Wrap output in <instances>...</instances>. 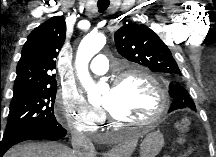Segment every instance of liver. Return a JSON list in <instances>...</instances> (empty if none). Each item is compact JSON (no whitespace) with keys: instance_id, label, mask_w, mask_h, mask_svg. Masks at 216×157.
<instances>
[{"instance_id":"6515ba94","label":"liver","mask_w":216,"mask_h":157,"mask_svg":"<svg viewBox=\"0 0 216 157\" xmlns=\"http://www.w3.org/2000/svg\"><path fill=\"white\" fill-rule=\"evenodd\" d=\"M138 138L131 137L120 147L105 154V157H128L134 151ZM95 152L92 153V157ZM5 157H75L73 150L56 142H29L14 146Z\"/></svg>"}]
</instances>
